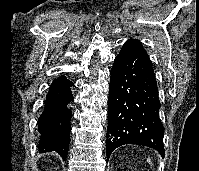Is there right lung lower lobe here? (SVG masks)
I'll return each instance as SVG.
<instances>
[{"label":"right lung lower lobe","mask_w":199,"mask_h":171,"mask_svg":"<svg viewBox=\"0 0 199 171\" xmlns=\"http://www.w3.org/2000/svg\"><path fill=\"white\" fill-rule=\"evenodd\" d=\"M71 86L73 83L61 75L49 87L44 111L38 120L40 153L56 151L63 159L68 155L71 111L67 105L73 100Z\"/></svg>","instance_id":"1"}]
</instances>
